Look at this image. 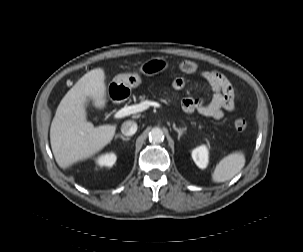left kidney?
Returning a JSON list of instances; mask_svg holds the SVG:
<instances>
[{
	"mask_svg": "<svg viewBox=\"0 0 303 252\" xmlns=\"http://www.w3.org/2000/svg\"><path fill=\"white\" fill-rule=\"evenodd\" d=\"M208 148L206 145H201L192 150V158L195 164L201 168L205 169L208 165Z\"/></svg>",
	"mask_w": 303,
	"mask_h": 252,
	"instance_id": "left-kidney-1",
	"label": "left kidney"
}]
</instances>
